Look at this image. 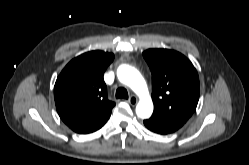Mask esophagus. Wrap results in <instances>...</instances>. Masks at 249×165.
Here are the masks:
<instances>
[{
	"label": "esophagus",
	"instance_id": "obj_1",
	"mask_svg": "<svg viewBox=\"0 0 249 165\" xmlns=\"http://www.w3.org/2000/svg\"><path fill=\"white\" fill-rule=\"evenodd\" d=\"M128 102H129V104H131V105H136L137 104V102H138V99H137V97L136 96H134V95H132V96H130V98L128 99Z\"/></svg>",
	"mask_w": 249,
	"mask_h": 165
}]
</instances>
